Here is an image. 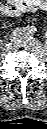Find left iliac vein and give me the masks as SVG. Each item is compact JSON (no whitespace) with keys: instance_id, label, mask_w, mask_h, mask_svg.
Masks as SVG:
<instances>
[{"instance_id":"1","label":"left iliac vein","mask_w":47,"mask_h":129,"mask_svg":"<svg viewBox=\"0 0 47 129\" xmlns=\"http://www.w3.org/2000/svg\"><path fill=\"white\" fill-rule=\"evenodd\" d=\"M32 35H33L32 33L25 32L23 38H28L31 37Z\"/></svg>"}]
</instances>
